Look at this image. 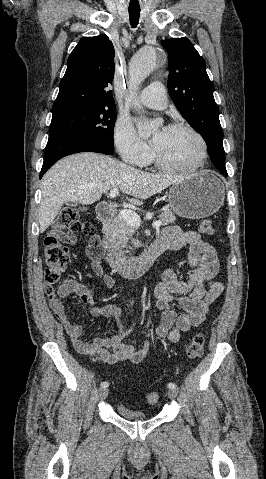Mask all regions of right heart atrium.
<instances>
[{"mask_svg": "<svg viewBox=\"0 0 266 479\" xmlns=\"http://www.w3.org/2000/svg\"><path fill=\"white\" fill-rule=\"evenodd\" d=\"M114 144L120 157L131 165L143 167L151 160L149 146L135 134L125 120H118L113 134Z\"/></svg>", "mask_w": 266, "mask_h": 479, "instance_id": "d8ad5b80", "label": "right heart atrium"}]
</instances>
